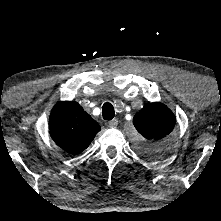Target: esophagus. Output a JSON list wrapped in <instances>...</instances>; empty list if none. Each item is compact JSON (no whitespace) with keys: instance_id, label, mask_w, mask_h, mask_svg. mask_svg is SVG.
<instances>
[{"instance_id":"34e87169","label":"esophagus","mask_w":221,"mask_h":221,"mask_svg":"<svg viewBox=\"0 0 221 221\" xmlns=\"http://www.w3.org/2000/svg\"><path fill=\"white\" fill-rule=\"evenodd\" d=\"M118 125V119L114 118L111 121H109V127L115 128Z\"/></svg>"}]
</instances>
